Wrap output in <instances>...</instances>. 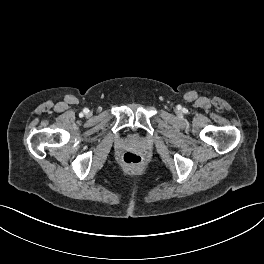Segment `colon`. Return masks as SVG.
I'll return each instance as SVG.
<instances>
[{"mask_svg": "<svg viewBox=\"0 0 264 264\" xmlns=\"http://www.w3.org/2000/svg\"><path fill=\"white\" fill-rule=\"evenodd\" d=\"M121 161H122L123 166L130 170L139 169L143 165L142 157L133 152H126L122 156Z\"/></svg>", "mask_w": 264, "mask_h": 264, "instance_id": "5ec220e1", "label": "colon"}]
</instances>
